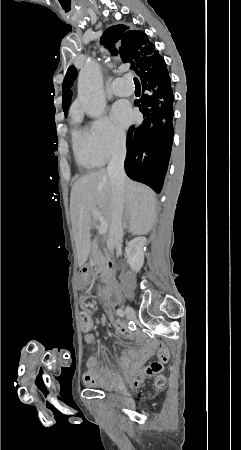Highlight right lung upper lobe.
<instances>
[{"label": "right lung upper lobe", "mask_w": 241, "mask_h": 450, "mask_svg": "<svg viewBox=\"0 0 241 450\" xmlns=\"http://www.w3.org/2000/svg\"><path fill=\"white\" fill-rule=\"evenodd\" d=\"M126 29L125 25L109 27L102 35L101 43L108 47L114 56L119 55L124 63H130V69L136 73L145 65H155L163 61L144 32ZM117 42L118 49L115 48ZM75 75V67L70 66L65 79Z\"/></svg>", "instance_id": "1"}]
</instances>
